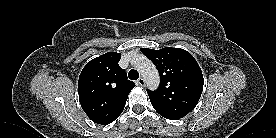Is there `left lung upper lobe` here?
Listing matches in <instances>:
<instances>
[{
	"mask_svg": "<svg viewBox=\"0 0 276 138\" xmlns=\"http://www.w3.org/2000/svg\"><path fill=\"white\" fill-rule=\"evenodd\" d=\"M141 52L154 63L160 75L158 90H147L154 109L171 120L187 115L197 105L203 90L204 79L197 61L180 48H141Z\"/></svg>",
	"mask_w": 276,
	"mask_h": 138,
	"instance_id": "obj_1",
	"label": "left lung upper lobe"
}]
</instances>
